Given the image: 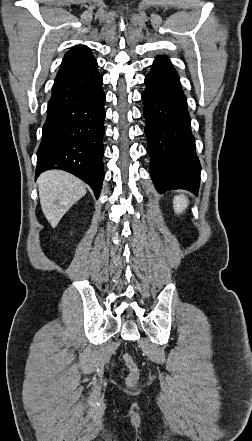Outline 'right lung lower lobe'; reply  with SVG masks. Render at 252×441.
I'll return each mask as SVG.
<instances>
[{
	"mask_svg": "<svg viewBox=\"0 0 252 441\" xmlns=\"http://www.w3.org/2000/svg\"><path fill=\"white\" fill-rule=\"evenodd\" d=\"M97 62L56 77L37 151L35 176L61 169L89 184L99 197L104 178L105 94Z\"/></svg>",
	"mask_w": 252,
	"mask_h": 441,
	"instance_id": "right-lung-lower-lobe-1",
	"label": "right lung lower lobe"
}]
</instances>
